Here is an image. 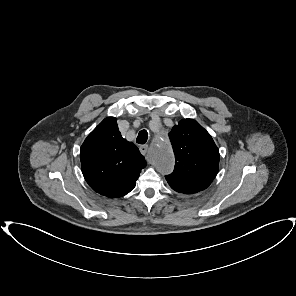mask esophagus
<instances>
[{"label": "esophagus", "mask_w": 296, "mask_h": 296, "mask_svg": "<svg viewBox=\"0 0 296 296\" xmlns=\"http://www.w3.org/2000/svg\"><path fill=\"white\" fill-rule=\"evenodd\" d=\"M139 150H140L141 154L146 155L148 153L149 146L148 145H141L139 147Z\"/></svg>", "instance_id": "1"}]
</instances>
